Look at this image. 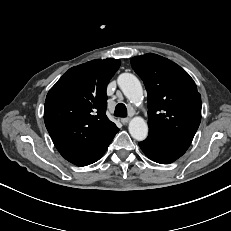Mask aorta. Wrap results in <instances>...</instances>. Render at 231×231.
Returning a JSON list of instances; mask_svg holds the SVG:
<instances>
[{"label": "aorta", "instance_id": "obj_1", "mask_svg": "<svg viewBox=\"0 0 231 231\" xmlns=\"http://www.w3.org/2000/svg\"><path fill=\"white\" fill-rule=\"evenodd\" d=\"M118 85L124 95L133 103L143 98V89L138 78L131 73H122L118 77ZM129 133L138 140L143 141L148 135V125L141 117H134L129 122Z\"/></svg>", "mask_w": 231, "mask_h": 231}]
</instances>
